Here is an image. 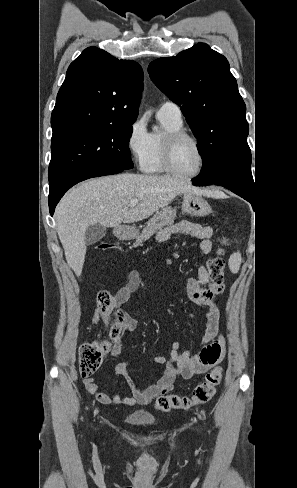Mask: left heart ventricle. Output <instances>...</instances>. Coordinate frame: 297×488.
<instances>
[{"label":"left heart ventricle","instance_id":"b2bd125f","mask_svg":"<svg viewBox=\"0 0 297 488\" xmlns=\"http://www.w3.org/2000/svg\"><path fill=\"white\" fill-rule=\"evenodd\" d=\"M199 152L193 142L181 141L174 150L173 164L183 174L194 172L199 165Z\"/></svg>","mask_w":297,"mask_h":488}]
</instances>
